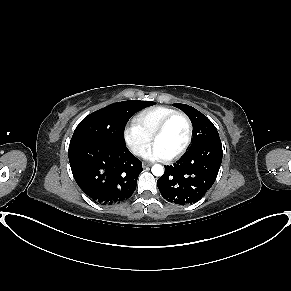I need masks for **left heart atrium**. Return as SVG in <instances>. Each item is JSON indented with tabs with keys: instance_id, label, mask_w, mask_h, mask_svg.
I'll return each instance as SVG.
<instances>
[{
	"instance_id": "left-heart-atrium-1",
	"label": "left heart atrium",
	"mask_w": 291,
	"mask_h": 291,
	"mask_svg": "<svg viewBox=\"0 0 291 291\" xmlns=\"http://www.w3.org/2000/svg\"><path fill=\"white\" fill-rule=\"evenodd\" d=\"M142 156L149 160H166L169 159V155L156 143L147 147L143 152Z\"/></svg>"
}]
</instances>
